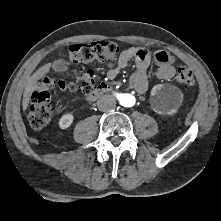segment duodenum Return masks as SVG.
Segmentation results:
<instances>
[{
    "mask_svg": "<svg viewBox=\"0 0 221 221\" xmlns=\"http://www.w3.org/2000/svg\"><path fill=\"white\" fill-rule=\"evenodd\" d=\"M112 91H113V89H112L109 85L103 83V84L99 85V86L88 96V98H89L90 100H95V99L100 98L101 96H103V95H105V94H107V93L112 92Z\"/></svg>",
    "mask_w": 221,
    "mask_h": 221,
    "instance_id": "410a0bca",
    "label": "duodenum"
}]
</instances>
